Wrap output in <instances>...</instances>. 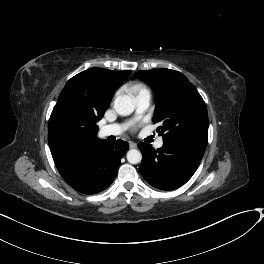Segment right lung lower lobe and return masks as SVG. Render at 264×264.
Here are the masks:
<instances>
[{
	"mask_svg": "<svg viewBox=\"0 0 264 264\" xmlns=\"http://www.w3.org/2000/svg\"><path fill=\"white\" fill-rule=\"evenodd\" d=\"M129 149L127 142L106 140L93 145L73 161L58 168L64 180L84 194H96L111 185L121 158Z\"/></svg>",
	"mask_w": 264,
	"mask_h": 264,
	"instance_id": "98d812e1",
	"label": "right lung lower lobe"
}]
</instances>
